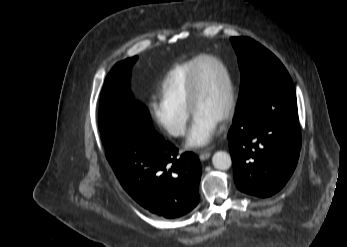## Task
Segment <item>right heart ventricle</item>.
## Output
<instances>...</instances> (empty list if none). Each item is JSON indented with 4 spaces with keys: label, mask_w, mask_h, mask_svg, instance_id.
<instances>
[{
    "label": "right heart ventricle",
    "mask_w": 347,
    "mask_h": 247,
    "mask_svg": "<svg viewBox=\"0 0 347 247\" xmlns=\"http://www.w3.org/2000/svg\"><path fill=\"white\" fill-rule=\"evenodd\" d=\"M199 58L177 64L168 71L160 87V94L164 101L188 109L187 96L190 73Z\"/></svg>",
    "instance_id": "1"
}]
</instances>
